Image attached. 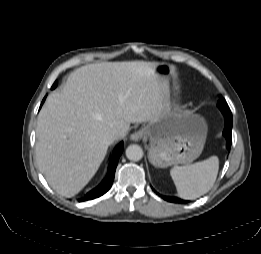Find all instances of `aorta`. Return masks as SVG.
Returning <instances> with one entry per match:
<instances>
[{
    "label": "aorta",
    "mask_w": 261,
    "mask_h": 254,
    "mask_svg": "<svg viewBox=\"0 0 261 254\" xmlns=\"http://www.w3.org/2000/svg\"><path fill=\"white\" fill-rule=\"evenodd\" d=\"M126 157L131 161H139L143 157V150L139 145H130L126 149Z\"/></svg>",
    "instance_id": "762f6f07"
}]
</instances>
